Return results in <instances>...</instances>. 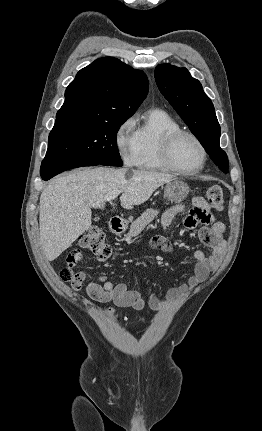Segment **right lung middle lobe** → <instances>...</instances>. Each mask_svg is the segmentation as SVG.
<instances>
[{"label":"right lung middle lobe","mask_w":262,"mask_h":431,"mask_svg":"<svg viewBox=\"0 0 262 431\" xmlns=\"http://www.w3.org/2000/svg\"><path fill=\"white\" fill-rule=\"evenodd\" d=\"M126 120H78L54 125L44 160H81L122 166L116 137Z\"/></svg>","instance_id":"right-lung-middle-lobe-1"}]
</instances>
